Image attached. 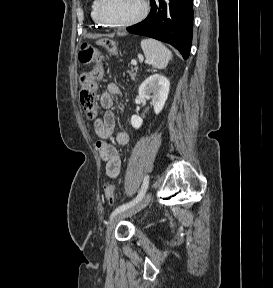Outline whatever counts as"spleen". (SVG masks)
Listing matches in <instances>:
<instances>
[{"label": "spleen", "instance_id": "obj_1", "mask_svg": "<svg viewBox=\"0 0 273 288\" xmlns=\"http://www.w3.org/2000/svg\"><path fill=\"white\" fill-rule=\"evenodd\" d=\"M141 48L144 55L154 68L163 69L172 59V53L167 47L154 39H143L141 41Z\"/></svg>", "mask_w": 273, "mask_h": 288}]
</instances>
